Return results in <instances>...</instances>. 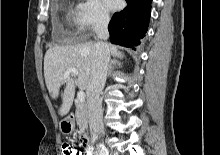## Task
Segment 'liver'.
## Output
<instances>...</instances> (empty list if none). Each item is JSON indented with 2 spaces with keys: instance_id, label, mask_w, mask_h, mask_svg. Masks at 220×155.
I'll use <instances>...</instances> for the list:
<instances>
[{
  "instance_id": "obj_1",
  "label": "liver",
  "mask_w": 220,
  "mask_h": 155,
  "mask_svg": "<svg viewBox=\"0 0 220 155\" xmlns=\"http://www.w3.org/2000/svg\"><path fill=\"white\" fill-rule=\"evenodd\" d=\"M94 45L93 42H85L69 46H53L45 54L44 77L51 97L56 99L59 96L60 87L65 84L62 105L58 110L60 116L68 114L75 96V82L70 77L63 80L64 73L69 68H76L78 88L87 89L94 57ZM107 45L113 57L123 58L124 55L117 46Z\"/></svg>"
}]
</instances>
